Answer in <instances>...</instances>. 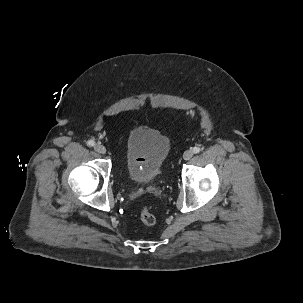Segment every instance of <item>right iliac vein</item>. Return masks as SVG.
Returning <instances> with one entry per match:
<instances>
[{"label":"right iliac vein","instance_id":"1","mask_svg":"<svg viewBox=\"0 0 303 303\" xmlns=\"http://www.w3.org/2000/svg\"><path fill=\"white\" fill-rule=\"evenodd\" d=\"M94 149H95L96 152H98L100 154H105L106 153V148L102 144H96L94 146Z\"/></svg>","mask_w":303,"mask_h":303}]
</instances>
